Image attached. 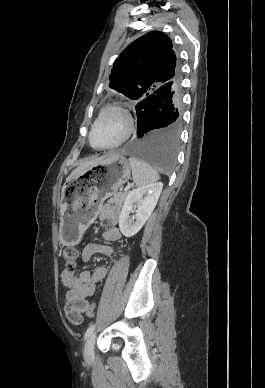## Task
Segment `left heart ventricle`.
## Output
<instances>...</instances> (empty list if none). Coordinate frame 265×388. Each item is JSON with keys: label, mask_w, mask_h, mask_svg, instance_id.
<instances>
[{"label": "left heart ventricle", "mask_w": 265, "mask_h": 388, "mask_svg": "<svg viewBox=\"0 0 265 388\" xmlns=\"http://www.w3.org/2000/svg\"><path fill=\"white\" fill-rule=\"evenodd\" d=\"M124 118L116 112H109L96 125L93 134L94 143L98 146L114 144L123 133Z\"/></svg>", "instance_id": "obj_1"}]
</instances>
